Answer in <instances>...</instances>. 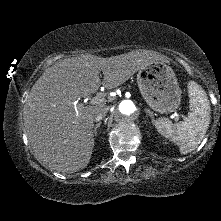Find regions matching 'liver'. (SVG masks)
<instances>
[{"instance_id": "liver-1", "label": "liver", "mask_w": 221, "mask_h": 221, "mask_svg": "<svg viewBox=\"0 0 221 221\" xmlns=\"http://www.w3.org/2000/svg\"><path fill=\"white\" fill-rule=\"evenodd\" d=\"M155 61L168 62L163 54L133 51L108 58L84 54L46 69L24 106L26 135L36 158L58 172L84 169L94 149L95 117L105 103L85 106L76 100L95 93L101 84L113 89Z\"/></svg>"}]
</instances>
